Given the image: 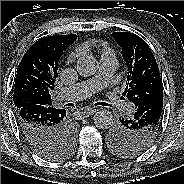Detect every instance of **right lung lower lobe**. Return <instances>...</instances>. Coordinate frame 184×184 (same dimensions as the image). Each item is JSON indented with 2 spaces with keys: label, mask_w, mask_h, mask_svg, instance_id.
<instances>
[{
  "label": "right lung lower lobe",
  "mask_w": 184,
  "mask_h": 184,
  "mask_svg": "<svg viewBox=\"0 0 184 184\" xmlns=\"http://www.w3.org/2000/svg\"><path fill=\"white\" fill-rule=\"evenodd\" d=\"M21 132L35 152L63 141L67 129L66 111L52 105H28L16 110Z\"/></svg>",
  "instance_id": "obj_1"
}]
</instances>
